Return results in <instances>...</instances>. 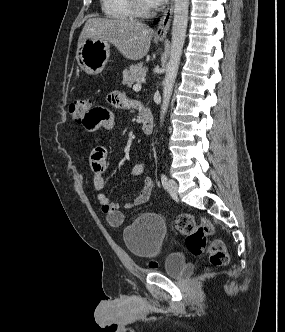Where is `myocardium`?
Listing matches in <instances>:
<instances>
[{"label": "myocardium", "mask_w": 285, "mask_h": 332, "mask_svg": "<svg viewBox=\"0 0 285 332\" xmlns=\"http://www.w3.org/2000/svg\"><path fill=\"white\" fill-rule=\"evenodd\" d=\"M132 9L137 17L146 18L153 14L152 6L145 0H131Z\"/></svg>", "instance_id": "myocardium-1"}]
</instances>
